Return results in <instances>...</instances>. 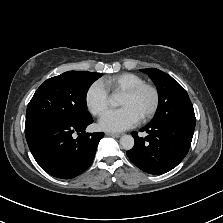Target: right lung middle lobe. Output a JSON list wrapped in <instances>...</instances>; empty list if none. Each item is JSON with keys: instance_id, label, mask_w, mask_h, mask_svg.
<instances>
[{"instance_id": "obj_1", "label": "right lung middle lobe", "mask_w": 223, "mask_h": 223, "mask_svg": "<svg viewBox=\"0 0 223 223\" xmlns=\"http://www.w3.org/2000/svg\"><path fill=\"white\" fill-rule=\"evenodd\" d=\"M101 74L68 71L41 84L27 107L25 128L51 123H86L92 119L86 94Z\"/></svg>"}]
</instances>
